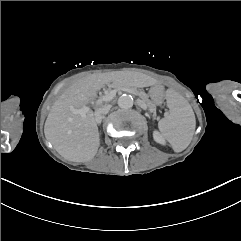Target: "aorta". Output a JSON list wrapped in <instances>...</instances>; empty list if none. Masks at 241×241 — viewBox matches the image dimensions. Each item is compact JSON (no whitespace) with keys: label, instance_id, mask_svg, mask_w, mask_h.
<instances>
[{"label":"aorta","instance_id":"aorta-1","mask_svg":"<svg viewBox=\"0 0 241 241\" xmlns=\"http://www.w3.org/2000/svg\"><path fill=\"white\" fill-rule=\"evenodd\" d=\"M134 100L131 95H122L118 99V106L122 109H129L133 106Z\"/></svg>","mask_w":241,"mask_h":241}]
</instances>
